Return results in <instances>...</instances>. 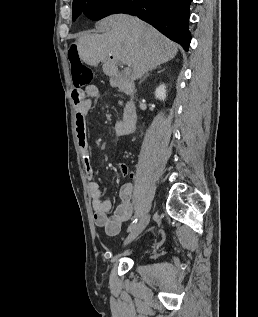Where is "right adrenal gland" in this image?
I'll list each match as a JSON object with an SVG mask.
<instances>
[{
	"label": "right adrenal gland",
	"mask_w": 258,
	"mask_h": 317,
	"mask_svg": "<svg viewBox=\"0 0 258 317\" xmlns=\"http://www.w3.org/2000/svg\"><path fill=\"white\" fill-rule=\"evenodd\" d=\"M153 68H161V66H152V68H150V70H153ZM158 72H162V70H158ZM149 72H146L144 78H146V76H148ZM144 78H142V80H144ZM142 80H140V82H142ZM139 82V84H140Z\"/></svg>",
	"instance_id": "2a0ac1e0"
}]
</instances>
